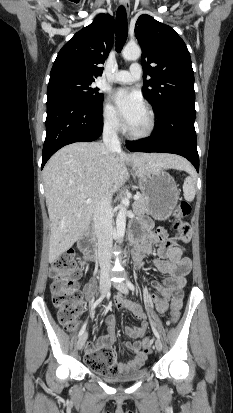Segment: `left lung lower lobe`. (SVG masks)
Instances as JSON below:
<instances>
[{
    "mask_svg": "<svg viewBox=\"0 0 233 413\" xmlns=\"http://www.w3.org/2000/svg\"><path fill=\"white\" fill-rule=\"evenodd\" d=\"M158 125L150 137L128 143L131 152H164L187 158L199 172L194 121L196 112L182 106L157 114Z\"/></svg>",
    "mask_w": 233,
    "mask_h": 413,
    "instance_id": "1",
    "label": "left lung lower lobe"
}]
</instances>
